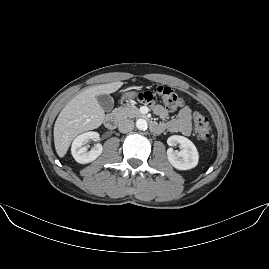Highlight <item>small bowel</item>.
Segmentation results:
<instances>
[{
    "instance_id": "obj_1",
    "label": "small bowel",
    "mask_w": 269,
    "mask_h": 269,
    "mask_svg": "<svg viewBox=\"0 0 269 269\" xmlns=\"http://www.w3.org/2000/svg\"><path fill=\"white\" fill-rule=\"evenodd\" d=\"M154 112L162 118L167 117L166 111L160 105H153ZM192 110L190 107H183L177 116L166 124V128L170 132H178L188 136L192 131ZM163 126V125H162ZM164 128V126H163Z\"/></svg>"
}]
</instances>
